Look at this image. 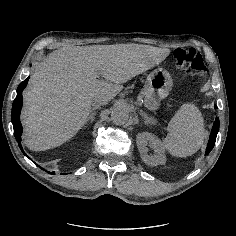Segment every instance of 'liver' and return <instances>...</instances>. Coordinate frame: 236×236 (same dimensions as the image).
I'll return each instance as SVG.
<instances>
[{"instance_id": "liver-1", "label": "liver", "mask_w": 236, "mask_h": 236, "mask_svg": "<svg viewBox=\"0 0 236 236\" xmlns=\"http://www.w3.org/2000/svg\"><path fill=\"white\" fill-rule=\"evenodd\" d=\"M169 53L142 44L67 46L51 52L36 65L23 94L24 144L32 151L62 145L87 122L92 106L107 104L122 91V83L147 70L143 64L149 55Z\"/></svg>"}]
</instances>
